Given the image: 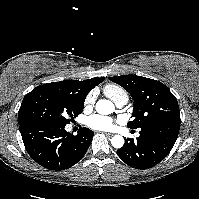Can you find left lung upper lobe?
I'll return each mask as SVG.
<instances>
[{"label":"left lung upper lobe","mask_w":199,"mask_h":199,"mask_svg":"<svg viewBox=\"0 0 199 199\" xmlns=\"http://www.w3.org/2000/svg\"><path fill=\"white\" fill-rule=\"evenodd\" d=\"M109 79L126 89L134 100L131 129L143 128L159 120L180 118L177 99L163 83L136 75H122Z\"/></svg>","instance_id":"5c2ea615"}]
</instances>
